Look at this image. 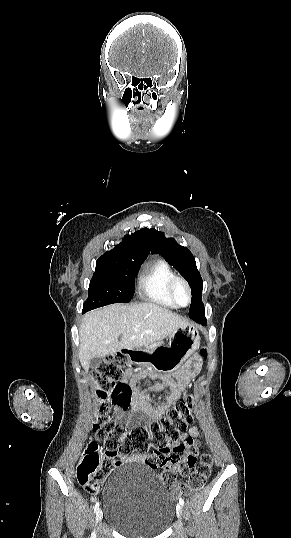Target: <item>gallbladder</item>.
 Instances as JSON below:
<instances>
[{
  "label": "gallbladder",
  "mask_w": 291,
  "mask_h": 538,
  "mask_svg": "<svg viewBox=\"0 0 291 538\" xmlns=\"http://www.w3.org/2000/svg\"><path fill=\"white\" fill-rule=\"evenodd\" d=\"M101 358L100 357H94L92 358L89 362H90V367L92 369H95V368H98L100 363H101Z\"/></svg>",
  "instance_id": "bac80fb5"
}]
</instances>
